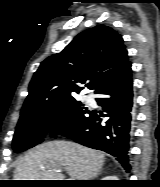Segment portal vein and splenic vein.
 Segmentation results:
<instances>
[{"label":"portal vein and splenic vein","instance_id":"18ae733b","mask_svg":"<svg viewBox=\"0 0 160 187\" xmlns=\"http://www.w3.org/2000/svg\"><path fill=\"white\" fill-rule=\"evenodd\" d=\"M60 171H61V170H58L57 172H60ZM60 176L63 177L61 174H60ZM69 180H71V178H70Z\"/></svg>","mask_w":160,"mask_h":187}]
</instances>
